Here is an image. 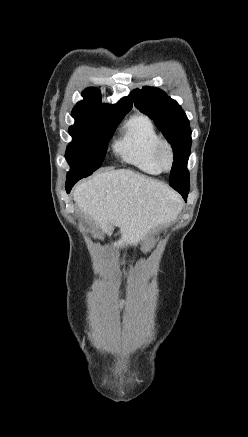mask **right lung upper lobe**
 Here are the masks:
<instances>
[{"mask_svg": "<svg viewBox=\"0 0 248 437\" xmlns=\"http://www.w3.org/2000/svg\"><path fill=\"white\" fill-rule=\"evenodd\" d=\"M84 100L78 102L72 110V117L87 121H103L124 117L132 108L131 97L121 99L117 104H103L97 88H87L82 93Z\"/></svg>", "mask_w": 248, "mask_h": 437, "instance_id": "cb5924a9", "label": "right lung upper lobe"}]
</instances>
